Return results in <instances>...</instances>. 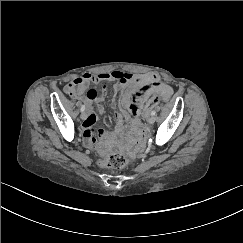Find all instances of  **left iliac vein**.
I'll list each match as a JSON object with an SVG mask.
<instances>
[{"mask_svg":"<svg viewBox=\"0 0 243 243\" xmlns=\"http://www.w3.org/2000/svg\"><path fill=\"white\" fill-rule=\"evenodd\" d=\"M147 122L150 125L153 124L155 122V117L154 116L149 117L148 120H147Z\"/></svg>","mask_w":243,"mask_h":243,"instance_id":"1","label":"left iliac vein"}]
</instances>
